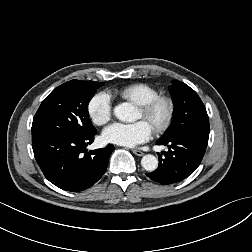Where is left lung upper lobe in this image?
<instances>
[{"mask_svg": "<svg viewBox=\"0 0 252 252\" xmlns=\"http://www.w3.org/2000/svg\"><path fill=\"white\" fill-rule=\"evenodd\" d=\"M173 83L171 94L175 105L174 122L160 139L168 140L193 131L209 133V119L200 97L185 83Z\"/></svg>", "mask_w": 252, "mask_h": 252, "instance_id": "obj_1", "label": "left lung upper lobe"}]
</instances>
